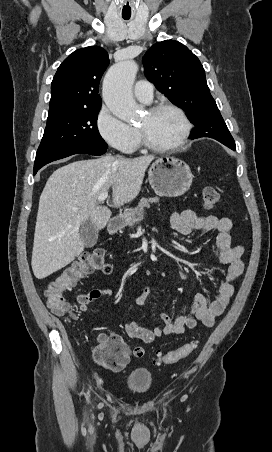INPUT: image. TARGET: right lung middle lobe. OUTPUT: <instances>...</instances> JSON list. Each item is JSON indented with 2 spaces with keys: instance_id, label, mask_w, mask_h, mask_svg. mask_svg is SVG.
I'll return each mask as SVG.
<instances>
[{
  "instance_id": "obj_1",
  "label": "right lung middle lobe",
  "mask_w": 272,
  "mask_h": 452,
  "mask_svg": "<svg viewBox=\"0 0 272 452\" xmlns=\"http://www.w3.org/2000/svg\"><path fill=\"white\" fill-rule=\"evenodd\" d=\"M99 110L100 107L49 114L37 154L75 146L107 149L108 146L97 128Z\"/></svg>"
}]
</instances>
